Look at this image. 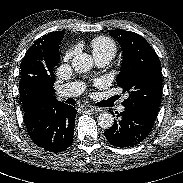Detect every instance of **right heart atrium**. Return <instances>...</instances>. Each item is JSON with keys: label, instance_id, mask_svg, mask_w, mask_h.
Here are the masks:
<instances>
[{"label": "right heart atrium", "instance_id": "obj_1", "mask_svg": "<svg viewBox=\"0 0 183 183\" xmlns=\"http://www.w3.org/2000/svg\"><path fill=\"white\" fill-rule=\"evenodd\" d=\"M72 55H73V50H72V49L68 50V51L65 53V55H64V60H65V61L69 60V59L71 58Z\"/></svg>", "mask_w": 183, "mask_h": 183}]
</instances>
